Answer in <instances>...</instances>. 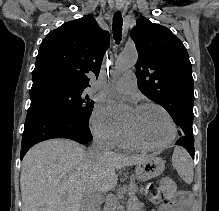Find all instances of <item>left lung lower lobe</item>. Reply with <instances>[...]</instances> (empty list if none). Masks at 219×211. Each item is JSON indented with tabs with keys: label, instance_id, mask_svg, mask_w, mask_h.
Segmentation results:
<instances>
[{
	"label": "left lung lower lobe",
	"instance_id": "0a47b994",
	"mask_svg": "<svg viewBox=\"0 0 219 211\" xmlns=\"http://www.w3.org/2000/svg\"><path fill=\"white\" fill-rule=\"evenodd\" d=\"M175 144L184 147L194 159V137L192 135L181 136Z\"/></svg>",
	"mask_w": 219,
	"mask_h": 211
}]
</instances>
